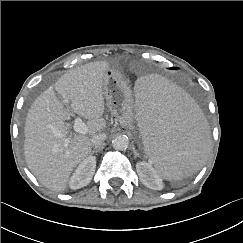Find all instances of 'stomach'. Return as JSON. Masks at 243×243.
I'll return each mask as SVG.
<instances>
[{"mask_svg": "<svg viewBox=\"0 0 243 243\" xmlns=\"http://www.w3.org/2000/svg\"><path fill=\"white\" fill-rule=\"evenodd\" d=\"M104 95L111 114L122 125H128L135 119L133 94L120 71L114 67L105 73Z\"/></svg>", "mask_w": 243, "mask_h": 243, "instance_id": "0dacf381", "label": "stomach"}]
</instances>
